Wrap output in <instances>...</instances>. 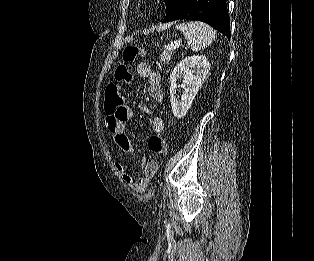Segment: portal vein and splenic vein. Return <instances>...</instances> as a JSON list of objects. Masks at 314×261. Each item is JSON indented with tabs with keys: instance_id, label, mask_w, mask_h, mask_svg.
<instances>
[{
	"instance_id": "18ae733b",
	"label": "portal vein and splenic vein",
	"mask_w": 314,
	"mask_h": 261,
	"mask_svg": "<svg viewBox=\"0 0 314 261\" xmlns=\"http://www.w3.org/2000/svg\"><path fill=\"white\" fill-rule=\"evenodd\" d=\"M181 45H182L181 42H175V43L171 42V44L167 46V49H172L173 50L175 48L180 47Z\"/></svg>"
}]
</instances>
